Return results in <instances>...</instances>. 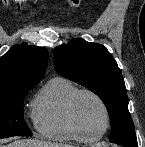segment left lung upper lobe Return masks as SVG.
Segmentation results:
<instances>
[{"mask_svg": "<svg viewBox=\"0 0 145 147\" xmlns=\"http://www.w3.org/2000/svg\"><path fill=\"white\" fill-rule=\"evenodd\" d=\"M53 54L58 74L88 88L105 104L112 126L109 140L125 147H138L124 79L106 47L73 39L56 47Z\"/></svg>", "mask_w": 145, "mask_h": 147, "instance_id": "left-lung-upper-lobe-1", "label": "left lung upper lobe"}]
</instances>
